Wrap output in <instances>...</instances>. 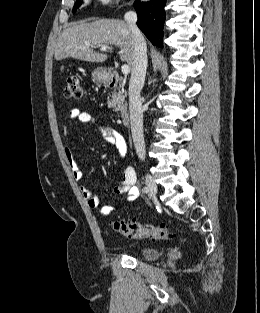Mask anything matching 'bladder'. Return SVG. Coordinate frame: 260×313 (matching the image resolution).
Listing matches in <instances>:
<instances>
[{
    "instance_id": "obj_1",
    "label": "bladder",
    "mask_w": 260,
    "mask_h": 313,
    "mask_svg": "<svg viewBox=\"0 0 260 313\" xmlns=\"http://www.w3.org/2000/svg\"><path fill=\"white\" fill-rule=\"evenodd\" d=\"M140 252L146 260H155L161 256L159 250L150 247H141Z\"/></svg>"
}]
</instances>
